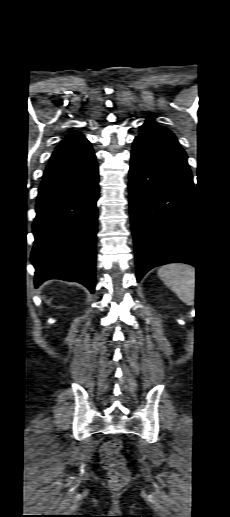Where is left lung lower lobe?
Segmentation results:
<instances>
[{"label": "left lung lower lobe", "instance_id": "1", "mask_svg": "<svg viewBox=\"0 0 230 517\" xmlns=\"http://www.w3.org/2000/svg\"><path fill=\"white\" fill-rule=\"evenodd\" d=\"M194 197L186 158L133 142L129 198L138 282L150 269L167 263L198 267Z\"/></svg>", "mask_w": 230, "mask_h": 517}]
</instances>
